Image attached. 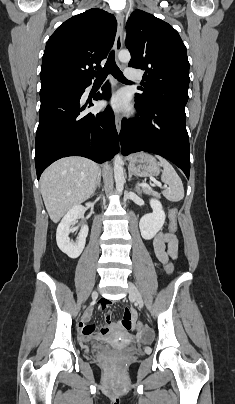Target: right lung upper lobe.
<instances>
[{
  "label": "right lung upper lobe",
  "mask_w": 235,
  "mask_h": 404,
  "mask_svg": "<svg viewBox=\"0 0 235 404\" xmlns=\"http://www.w3.org/2000/svg\"><path fill=\"white\" fill-rule=\"evenodd\" d=\"M117 22L112 14L90 9L65 21L46 43L41 85L91 82L113 45Z\"/></svg>",
  "instance_id": "cb5924a9"
}]
</instances>
